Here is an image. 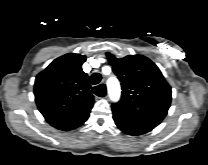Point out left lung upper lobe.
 Segmentation results:
<instances>
[{"instance_id": "1", "label": "left lung upper lobe", "mask_w": 208, "mask_h": 165, "mask_svg": "<svg viewBox=\"0 0 208 165\" xmlns=\"http://www.w3.org/2000/svg\"><path fill=\"white\" fill-rule=\"evenodd\" d=\"M121 82L122 95L112 105L113 113L126 119L158 126L171 103V87L159 68L147 57L128 55L122 59L107 53Z\"/></svg>"}]
</instances>
